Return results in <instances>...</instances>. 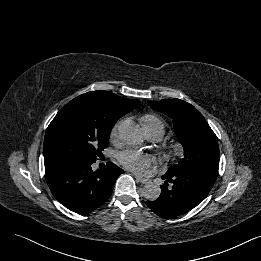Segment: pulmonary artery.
Returning a JSON list of instances; mask_svg holds the SVG:
<instances>
[{
    "mask_svg": "<svg viewBox=\"0 0 261 261\" xmlns=\"http://www.w3.org/2000/svg\"><path fill=\"white\" fill-rule=\"evenodd\" d=\"M161 137V135L158 132H152L147 135V138L151 141H156Z\"/></svg>",
    "mask_w": 261,
    "mask_h": 261,
    "instance_id": "1",
    "label": "pulmonary artery"
}]
</instances>
